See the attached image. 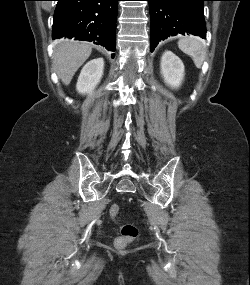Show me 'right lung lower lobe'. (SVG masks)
Wrapping results in <instances>:
<instances>
[{
  "label": "right lung lower lobe",
  "mask_w": 250,
  "mask_h": 285,
  "mask_svg": "<svg viewBox=\"0 0 250 285\" xmlns=\"http://www.w3.org/2000/svg\"><path fill=\"white\" fill-rule=\"evenodd\" d=\"M57 1L53 21V38L75 37L102 45L109 51H115L119 0Z\"/></svg>",
  "instance_id": "obj_1"
}]
</instances>
